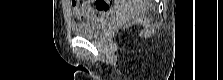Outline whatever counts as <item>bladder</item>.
Returning <instances> with one entry per match:
<instances>
[{"label": "bladder", "instance_id": "bladder-1", "mask_svg": "<svg viewBox=\"0 0 223 80\" xmlns=\"http://www.w3.org/2000/svg\"><path fill=\"white\" fill-rule=\"evenodd\" d=\"M110 16V13H103L86 21L73 23L71 24V30L78 37L86 39L96 38L106 28Z\"/></svg>", "mask_w": 223, "mask_h": 80}]
</instances>
